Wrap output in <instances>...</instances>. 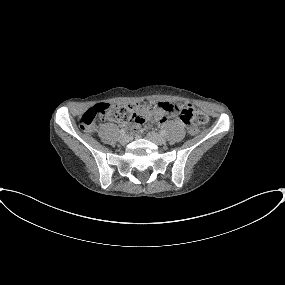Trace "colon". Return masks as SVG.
<instances>
[{
	"label": "colon",
	"instance_id": "1",
	"mask_svg": "<svg viewBox=\"0 0 285 285\" xmlns=\"http://www.w3.org/2000/svg\"><path fill=\"white\" fill-rule=\"evenodd\" d=\"M154 109V104L144 105H113L99 103L88 108L80 117V127L85 132H93L97 121H122L134 123L136 120ZM171 110L181 117V120L189 125L205 124L208 116L195 109L189 103L174 104Z\"/></svg>",
	"mask_w": 285,
	"mask_h": 285
}]
</instances>
